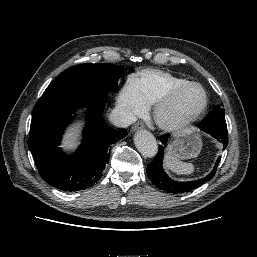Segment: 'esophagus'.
<instances>
[{"label": "esophagus", "mask_w": 257, "mask_h": 257, "mask_svg": "<svg viewBox=\"0 0 257 257\" xmlns=\"http://www.w3.org/2000/svg\"><path fill=\"white\" fill-rule=\"evenodd\" d=\"M144 128V124L142 122H138L136 124H134L131 128V132H135L137 130H141Z\"/></svg>", "instance_id": "34e87169"}]
</instances>
